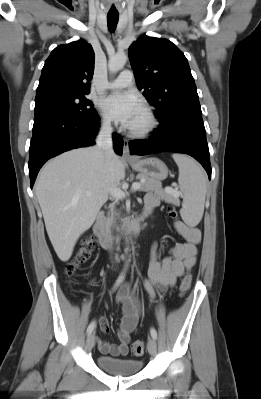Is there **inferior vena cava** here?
<instances>
[{"mask_svg":"<svg viewBox=\"0 0 261 399\" xmlns=\"http://www.w3.org/2000/svg\"><path fill=\"white\" fill-rule=\"evenodd\" d=\"M112 132L113 129L111 127L110 122L105 121L101 125L100 131L96 138V146L97 148L105 155L107 158H110L113 154V142H112Z\"/></svg>","mask_w":261,"mask_h":399,"instance_id":"602c4592","label":"inferior vena cava"}]
</instances>
